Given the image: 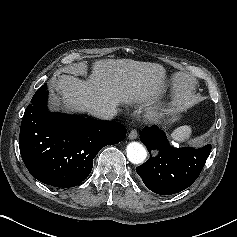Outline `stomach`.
Returning a JSON list of instances; mask_svg holds the SVG:
<instances>
[{
  "label": "stomach",
  "instance_id": "0dacf381",
  "mask_svg": "<svg viewBox=\"0 0 237 237\" xmlns=\"http://www.w3.org/2000/svg\"><path fill=\"white\" fill-rule=\"evenodd\" d=\"M167 116H168L167 123H174V122H176L181 117L180 109L177 108V107H171L167 111Z\"/></svg>",
  "mask_w": 237,
  "mask_h": 237
}]
</instances>
